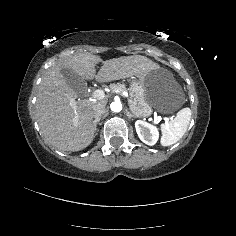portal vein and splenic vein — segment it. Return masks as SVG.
Here are the masks:
<instances>
[{
    "label": "portal vein and splenic vein",
    "mask_w": 236,
    "mask_h": 236,
    "mask_svg": "<svg viewBox=\"0 0 236 236\" xmlns=\"http://www.w3.org/2000/svg\"><path fill=\"white\" fill-rule=\"evenodd\" d=\"M113 92L119 93L120 95L122 94V91L120 89H118V88L113 89ZM94 97L96 99H103L105 97V92L100 90V89H97V90L94 91ZM72 115H73V125H77L79 117H78V112H77V108L76 107H74L72 109ZM157 119L160 121L161 120V116H157ZM170 119L174 120L175 116L171 115L170 117L169 116L165 117L166 121H169Z\"/></svg>",
    "instance_id": "portal-vein-and-splenic-vein-1"
}]
</instances>
